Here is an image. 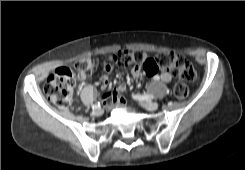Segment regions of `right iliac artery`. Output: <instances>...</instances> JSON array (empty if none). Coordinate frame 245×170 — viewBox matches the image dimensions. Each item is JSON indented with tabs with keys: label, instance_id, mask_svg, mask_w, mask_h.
I'll list each match as a JSON object with an SVG mask.
<instances>
[{
	"label": "right iliac artery",
	"instance_id": "obj_1",
	"mask_svg": "<svg viewBox=\"0 0 245 170\" xmlns=\"http://www.w3.org/2000/svg\"><path fill=\"white\" fill-rule=\"evenodd\" d=\"M99 106H100V103L96 104L94 107L99 108Z\"/></svg>",
	"mask_w": 245,
	"mask_h": 170
}]
</instances>
